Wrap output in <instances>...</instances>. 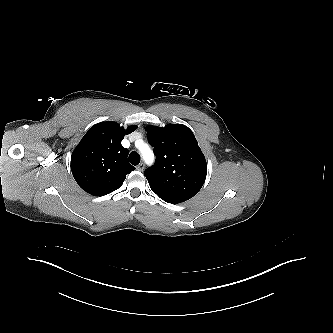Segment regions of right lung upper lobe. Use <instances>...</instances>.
<instances>
[{
	"instance_id": "obj_1",
	"label": "right lung upper lobe",
	"mask_w": 333,
	"mask_h": 333,
	"mask_svg": "<svg viewBox=\"0 0 333 333\" xmlns=\"http://www.w3.org/2000/svg\"><path fill=\"white\" fill-rule=\"evenodd\" d=\"M127 129L116 122L94 125L81 139L71 156V171L78 185L94 196H103L120 188L135 168L128 163V149L121 145Z\"/></svg>"
}]
</instances>
